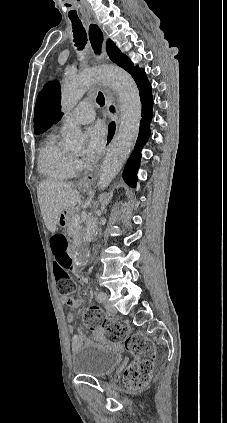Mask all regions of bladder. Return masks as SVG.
<instances>
[{
	"mask_svg": "<svg viewBox=\"0 0 227 423\" xmlns=\"http://www.w3.org/2000/svg\"><path fill=\"white\" fill-rule=\"evenodd\" d=\"M122 363L119 352L105 349L96 343L84 344L72 355V371L78 376L106 379Z\"/></svg>",
	"mask_w": 227,
	"mask_h": 423,
	"instance_id": "bladder-1",
	"label": "bladder"
}]
</instances>
